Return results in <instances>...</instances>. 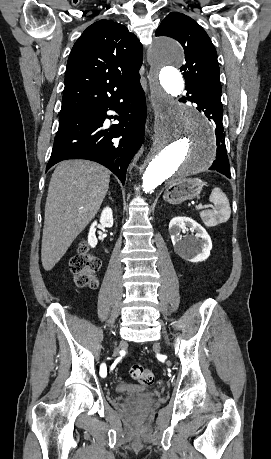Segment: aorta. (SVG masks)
<instances>
[{"label":"aorta","mask_w":271,"mask_h":459,"mask_svg":"<svg viewBox=\"0 0 271 459\" xmlns=\"http://www.w3.org/2000/svg\"><path fill=\"white\" fill-rule=\"evenodd\" d=\"M181 45L169 38L151 47L150 88L156 116L155 135L142 176V188L152 193L163 182H174L205 171L216 156L214 134L207 119L172 100L183 92L178 70L183 62Z\"/></svg>","instance_id":"762f6f07"}]
</instances>
